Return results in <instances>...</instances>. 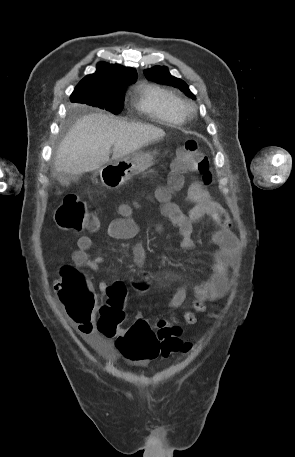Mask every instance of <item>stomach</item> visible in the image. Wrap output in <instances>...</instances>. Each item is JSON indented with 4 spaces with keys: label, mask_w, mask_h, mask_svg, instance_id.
I'll list each match as a JSON object with an SVG mask.
<instances>
[{
    "label": "stomach",
    "mask_w": 295,
    "mask_h": 457,
    "mask_svg": "<svg viewBox=\"0 0 295 457\" xmlns=\"http://www.w3.org/2000/svg\"><path fill=\"white\" fill-rule=\"evenodd\" d=\"M154 153L135 151L120 159L112 160L99 170L102 184L108 189H116L154 163Z\"/></svg>",
    "instance_id": "obj_1"
}]
</instances>
